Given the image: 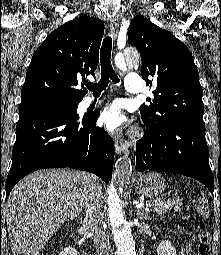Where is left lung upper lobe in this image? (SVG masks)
I'll use <instances>...</instances> for the list:
<instances>
[{"mask_svg": "<svg viewBox=\"0 0 221 255\" xmlns=\"http://www.w3.org/2000/svg\"><path fill=\"white\" fill-rule=\"evenodd\" d=\"M128 40L140 52L142 78L147 85L157 86L155 99L140 107L144 122L158 127L179 118L205 126L203 90L189 49L172 33L142 16L131 20Z\"/></svg>", "mask_w": 221, "mask_h": 255, "instance_id": "obj_1", "label": "left lung upper lobe"}]
</instances>
